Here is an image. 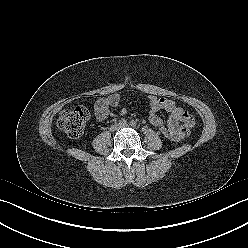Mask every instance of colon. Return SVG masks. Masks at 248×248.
Here are the masks:
<instances>
[{"mask_svg": "<svg viewBox=\"0 0 248 248\" xmlns=\"http://www.w3.org/2000/svg\"><path fill=\"white\" fill-rule=\"evenodd\" d=\"M89 113L83 107H77L72 110H66L60 113L57 125L58 128L70 138H79L82 136ZM159 134L168 141H176L173 132L165 126L159 128Z\"/></svg>", "mask_w": 248, "mask_h": 248, "instance_id": "5ec220e1", "label": "colon"}]
</instances>
